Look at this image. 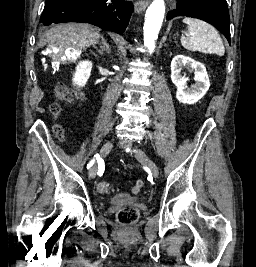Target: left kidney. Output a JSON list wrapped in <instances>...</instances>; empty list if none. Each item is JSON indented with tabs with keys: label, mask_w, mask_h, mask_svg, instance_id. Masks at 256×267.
I'll return each instance as SVG.
<instances>
[{
	"label": "left kidney",
	"mask_w": 256,
	"mask_h": 267,
	"mask_svg": "<svg viewBox=\"0 0 256 267\" xmlns=\"http://www.w3.org/2000/svg\"><path fill=\"white\" fill-rule=\"evenodd\" d=\"M182 68H192L195 72L193 80L196 84H193L191 88L187 86L189 78L181 74ZM171 80L177 86L176 98L182 104H196L205 96L210 86L204 64L195 62L189 56H174L171 62Z\"/></svg>",
	"instance_id": "1"
}]
</instances>
